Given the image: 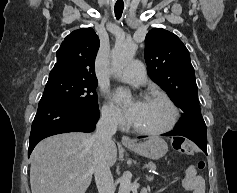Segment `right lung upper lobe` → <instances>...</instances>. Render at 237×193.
Segmentation results:
<instances>
[{
  "label": "right lung upper lobe",
  "mask_w": 237,
  "mask_h": 193,
  "mask_svg": "<svg viewBox=\"0 0 237 193\" xmlns=\"http://www.w3.org/2000/svg\"><path fill=\"white\" fill-rule=\"evenodd\" d=\"M99 45V38L92 28L73 31L61 43L50 74L97 80L94 62Z\"/></svg>",
  "instance_id": "cb5924a9"
}]
</instances>
